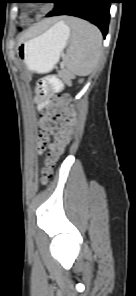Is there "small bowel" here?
<instances>
[{
  "label": "small bowel",
  "mask_w": 136,
  "mask_h": 296,
  "mask_svg": "<svg viewBox=\"0 0 136 296\" xmlns=\"http://www.w3.org/2000/svg\"><path fill=\"white\" fill-rule=\"evenodd\" d=\"M62 89V84L57 79H54L52 81H49L48 79H43L39 83V94L42 99V102L40 104V107H43L48 101L49 98H47L48 92L57 93Z\"/></svg>",
  "instance_id": "small-bowel-1"
}]
</instances>
